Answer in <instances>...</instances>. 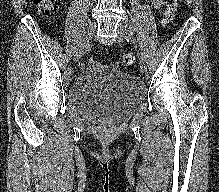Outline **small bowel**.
<instances>
[{"label": "small bowel", "instance_id": "c3829d8e", "mask_svg": "<svg viewBox=\"0 0 219 192\" xmlns=\"http://www.w3.org/2000/svg\"><path fill=\"white\" fill-rule=\"evenodd\" d=\"M152 3L155 8L159 9L163 6L164 1L163 0H152Z\"/></svg>", "mask_w": 219, "mask_h": 192}]
</instances>
